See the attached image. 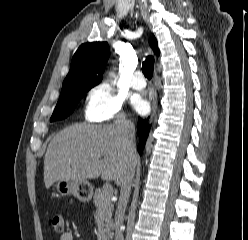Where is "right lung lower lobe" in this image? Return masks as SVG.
<instances>
[{
  "instance_id": "obj_1",
  "label": "right lung lower lobe",
  "mask_w": 248,
  "mask_h": 240,
  "mask_svg": "<svg viewBox=\"0 0 248 240\" xmlns=\"http://www.w3.org/2000/svg\"><path fill=\"white\" fill-rule=\"evenodd\" d=\"M148 119H141L138 120V135H139V144L137 146V150L139 154H142L144 145L146 143V140L148 138V134L150 131V125H147Z\"/></svg>"
}]
</instances>
